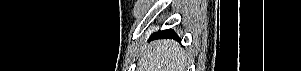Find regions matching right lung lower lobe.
<instances>
[{
    "mask_svg": "<svg viewBox=\"0 0 301 71\" xmlns=\"http://www.w3.org/2000/svg\"><path fill=\"white\" fill-rule=\"evenodd\" d=\"M155 38H175L179 40V37L171 29L158 31L157 33L152 34L151 39H155Z\"/></svg>",
    "mask_w": 301,
    "mask_h": 71,
    "instance_id": "1",
    "label": "right lung lower lobe"
}]
</instances>
